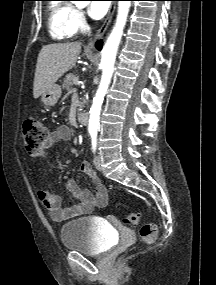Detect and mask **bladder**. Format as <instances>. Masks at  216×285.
Listing matches in <instances>:
<instances>
[{"label": "bladder", "instance_id": "bladder-1", "mask_svg": "<svg viewBox=\"0 0 216 285\" xmlns=\"http://www.w3.org/2000/svg\"><path fill=\"white\" fill-rule=\"evenodd\" d=\"M60 234L65 248L90 255L105 253L115 240L112 230L92 216L67 222L62 226Z\"/></svg>", "mask_w": 216, "mask_h": 285}]
</instances>
